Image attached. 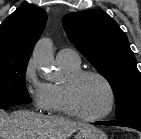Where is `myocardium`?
I'll use <instances>...</instances> for the list:
<instances>
[{"label": "myocardium", "mask_w": 141, "mask_h": 139, "mask_svg": "<svg viewBox=\"0 0 141 139\" xmlns=\"http://www.w3.org/2000/svg\"><path fill=\"white\" fill-rule=\"evenodd\" d=\"M87 76H94L99 78L101 81H103L109 91V106L104 113L97 116L83 114L78 110L74 101V89L76 85L80 80ZM62 98L66 113L85 121H101L106 119L113 112L116 104V93L112 83L104 74L96 70H79L66 77V80L62 84Z\"/></svg>", "instance_id": "myocardium-1"}]
</instances>
